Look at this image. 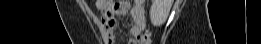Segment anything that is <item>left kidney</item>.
I'll return each instance as SVG.
<instances>
[{
  "label": "left kidney",
  "instance_id": "left-kidney-1",
  "mask_svg": "<svg viewBox=\"0 0 261 44\" xmlns=\"http://www.w3.org/2000/svg\"><path fill=\"white\" fill-rule=\"evenodd\" d=\"M172 0H152L150 8V20L154 26H161L165 23L170 9Z\"/></svg>",
  "mask_w": 261,
  "mask_h": 44
}]
</instances>
